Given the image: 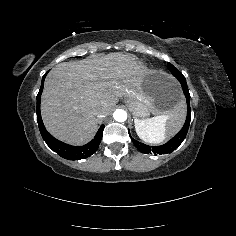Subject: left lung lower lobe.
Masks as SVG:
<instances>
[{"label": "left lung lower lobe", "mask_w": 236, "mask_h": 236, "mask_svg": "<svg viewBox=\"0 0 236 236\" xmlns=\"http://www.w3.org/2000/svg\"><path fill=\"white\" fill-rule=\"evenodd\" d=\"M168 69L178 79V81L180 82V84L182 86V89H183V92L185 94L186 101H187V109H188L187 110V118H186L183 128L179 131V133L176 134L171 140H169L164 145L150 147V146L143 144L131 137L136 148L145 154L157 155V154H167V153L173 152L183 142V140L185 139V137L187 135L188 129H189V125H190V121H191V109H190V94H189L187 82H186L185 78L183 77L182 73L178 69H176L171 63H168ZM129 135H130V133H129Z\"/></svg>", "instance_id": "0a47b994"}]
</instances>
